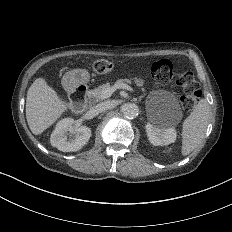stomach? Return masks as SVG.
<instances>
[{"label":"stomach","mask_w":232,"mask_h":232,"mask_svg":"<svg viewBox=\"0 0 232 232\" xmlns=\"http://www.w3.org/2000/svg\"><path fill=\"white\" fill-rule=\"evenodd\" d=\"M88 74V72L86 70H82V72H80L79 75H77V78L79 79V81H84L83 77L86 76Z\"/></svg>","instance_id":"1"}]
</instances>
